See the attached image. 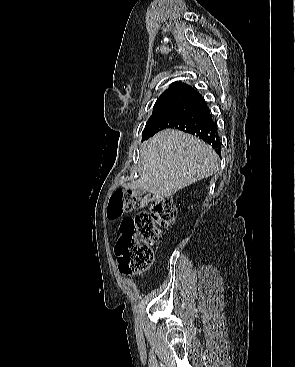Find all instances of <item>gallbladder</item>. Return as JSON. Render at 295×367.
<instances>
[{
    "mask_svg": "<svg viewBox=\"0 0 295 367\" xmlns=\"http://www.w3.org/2000/svg\"><path fill=\"white\" fill-rule=\"evenodd\" d=\"M143 191L141 189H136V194L137 195H142Z\"/></svg>",
    "mask_w": 295,
    "mask_h": 367,
    "instance_id": "bac80fb5",
    "label": "gallbladder"
}]
</instances>
